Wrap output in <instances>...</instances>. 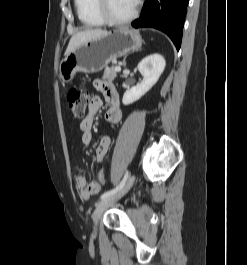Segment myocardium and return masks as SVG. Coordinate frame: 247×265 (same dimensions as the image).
<instances>
[{"label":"myocardium","mask_w":247,"mask_h":265,"mask_svg":"<svg viewBox=\"0 0 247 265\" xmlns=\"http://www.w3.org/2000/svg\"><path fill=\"white\" fill-rule=\"evenodd\" d=\"M141 0H136L135 7L131 14L125 18H116L112 15L109 8V0H96V9L105 23L113 26H123L134 21L140 11Z\"/></svg>","instance_id":"f54148a6"}]
</instances>
